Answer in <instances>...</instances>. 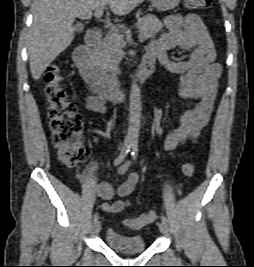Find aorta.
Wrapping results in <instances>:
<instances>
[{
    "label": "aorta",
    "mask_w": 254,
    "mask_h": 267,
    "mask_svg": "<svg viewBox=\"0 0 254 267\" xmlns=\"http://www.w3.org/2000/svg\"><path fill=\"white\" fill-rule=\"evenodd\" d=\"M142 110L141 93L138 84L131 86L130 107H129V128L128 138L136 141L140 130V117Z\"/></svg>",
    "instance_id": "1"
}]
</instances>
